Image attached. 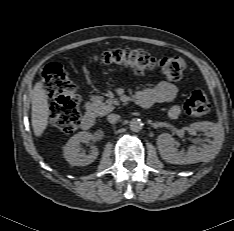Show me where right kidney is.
Segmentation results:
<instances>
[{
	"instance_id": "1",
	"label": "right kidney",
	"mask_w": 234,
	"mask_h": 231,
	"mask_svg": "<svg viewBox=\"0 0 234 231\" xmlns=\"http://www.w3.org/2000/svg\"><path fill=\"white\" fill-rule=\"evenodd\" d=\"M94 139V136L89 132L82 131L72 136L66 145L63 147V155L66 161L72 166H86L92 163L98 156V150L91 147L90 153L81 152L80 143H87Z\"/></svg>"
}]
</instances>
